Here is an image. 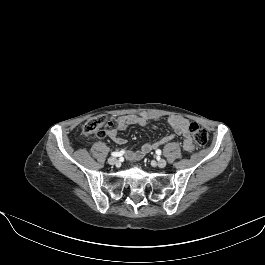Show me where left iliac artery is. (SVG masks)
I'll return each mask as SVG.
<instances>
[{
  "label": "left iliac artery",
  "instance_id": "obj_1",
  "mask_svg": "<svg viewBox=\"0 0 265 265\" xmlns=\"http://www.w3.org/2000/svg\"><path fill=\"white\" fill-rule=\"evenodd\" d=\"M156 154H157V155H161V154H162V153H161V150H159V149L156 150Z\"/></svg>",
  "mask_w": 265,
  "mask_h": 265
}]
</instances>
